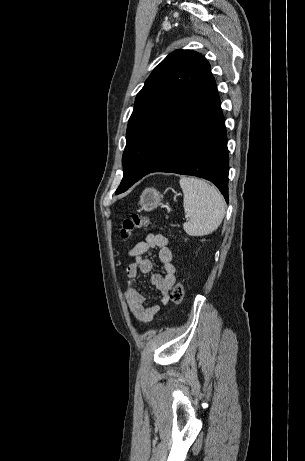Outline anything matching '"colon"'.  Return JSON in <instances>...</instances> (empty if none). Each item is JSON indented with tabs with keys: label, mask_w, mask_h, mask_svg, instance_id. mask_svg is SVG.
Masks as SVG:
<instances>
[{
	"label": "colon",
	"mask_w": 305,
	"mask_h": 461,
	"mask_svg": "<svg viewBox=\"0 0 305 461\" xmlns=\"http://www.w3.org/2000/svg\"><path fill=\"white\" fill-rule=\"evenodd\" d=\"M151 224L152 221L148 217L134 213L130 214L122 222L120 236L123 240L127 241L132 237L136 230L149 227ZM184 295V285L181 281H178L172 288L170 299L174 304H180L184 299Z\"/></svg>",
	"instance_id": "colon-1"
}]
</instances>
